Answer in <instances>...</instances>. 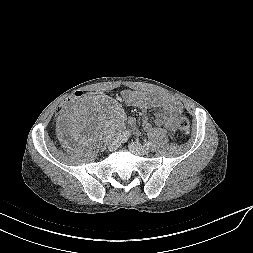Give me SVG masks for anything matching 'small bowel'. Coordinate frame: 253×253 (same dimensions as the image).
<instances>
[{
	"instance_id": "1",
	"label": "small bowel",
	"mask_w": 253,
	"mask_h": 253,
	"mask_svg": "<svg viewBox=\"0 0 253 253\" xmlns=\"http://www.w3.org/2000/svg\"><path fill=\"white\" fill-rule=\"evenodd\" d=\"M122 97L127 105L137 107L144 112L151 109L155 110L156 127L163 128L169 132L175 130V123L181 117L183 112L182 104L171 97L133 90H125L122 93ZM128 124L131 127H135L136 120L134 118H129ZM142 125L147 131H153L155 129L146 115L143 116ZM134 133L138 134V130L134 129Z\"/></svg>"
}]
</instances>
